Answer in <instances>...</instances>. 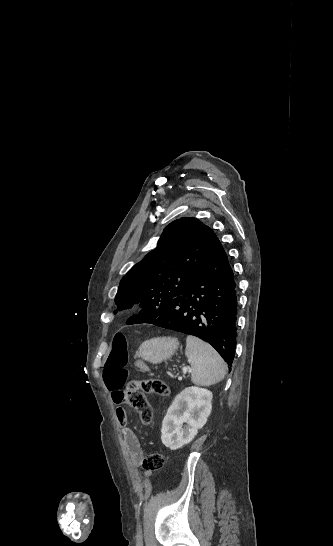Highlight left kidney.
<instances>
[{"mask_svg":"<svg viewBox=\"0 0 333 546\" xmlns=\"http://www.w3.org/2000/svg\"><path fill=\"white\" fill-rule=\"evenodd\" d=\"M211 400L212 393L207 389L192 386L182 390L163 419L162 443L171 450H177L192 441L207 422L212 409Z\"/></svg>","mask_w":333,"mask_h":546,"instance_id":"5707ae66","label":"left kidney"}]
</instances>
